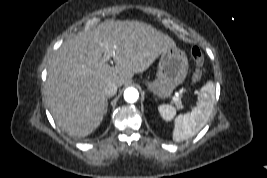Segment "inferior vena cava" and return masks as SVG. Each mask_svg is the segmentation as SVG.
Returning <instances> with one entry per match:
<instances>
[{
  "label": "inferior vena cava",
  "mask_w": 267,
  "mask_h": 178,
  "mask_svg": "<svg viewBox=\"0 0 267 178\" xmlns=\"http://www.w3.org/2000/svg\"><path fill=\"white\" fill-rule=\"evenodd\" d=\"M117 92V85L113 82H108L104 87V94L107 97L115 95Z\"/></svg>",
  "instance_id": "602c4592"
}]
</instances>
